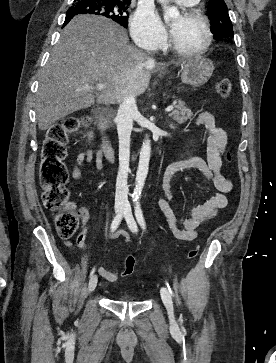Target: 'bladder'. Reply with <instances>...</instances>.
<instances>
[{
    "instance_id": "bladder-1",
    "label": "bladder",
    "mask_w": 276,
    "mask_h": 363,
    "mask_svg": "<svg viewBox=\"0 0 276 363\" xmlns=\"http://www.w3.org/2000/svg\"><path fill=\"white\" fill-rule=\"evenodd\" d=\"M125 301H127V302H131V301H136V300H134V299H132V298H125Z\"/></svg>"
}]
</instances>
